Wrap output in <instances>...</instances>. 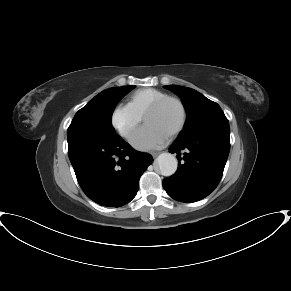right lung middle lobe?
I'll return each mask as SVG.
<instances>
[{"instance_id": "obj_1", "label": "right lung middle lobe", "mask_w": 291, "mask_h": 291, "mask_svg": "<svg viewBox=\"0 0 291 291\" xmlns=\"http://www.w3.org/2000/svg\"><path fill=\"white\" fill-rule=\"evenodd\" d=\"M134 87H113L100 92L75 114L67 136L87 135L103 139L119 137L111 123L112 113L119 100Z\"/></svg>"}]
</instances>
